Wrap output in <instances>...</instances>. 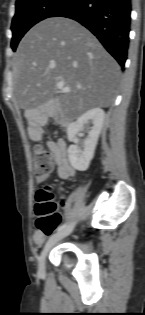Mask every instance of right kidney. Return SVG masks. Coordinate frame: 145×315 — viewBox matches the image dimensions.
Here are the masks:
<instances>
[{
	"mask_svg": "<svg viewBox=\"0 0 145 315\" xmlns=\"http://www.w3.org/2000/svg\"><path fill=\"white\" fill-rule=\"evenodd\" d=\"M105 113L101 108H92L81 115L75 122L67 127V137L70 142L76 143V134L83 129L84 125L91 121L93 126L89 131L88 137L85 140V148H81L75 144L68 148V158L72 167L78 171H86L89 168L90 162L94 157L96 145L101 133Z\"/></svg>",
	"mask_w": 145,
	"mask_h": 315,
	"instance_id": "1",
	"label": "right kidney"
}]
</instances>
